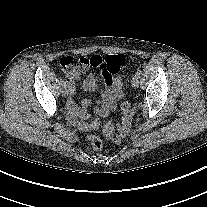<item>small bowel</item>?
I'll return each instance as SVG.
<instances>
[{"mask_svg": "<svg viewBox=\"0 0 207 207\" xmlns=\"http://www.w3.org/2000/svg\"><path fill=\"white\" fill-rule=\"evenodd\" d=\"M103 78V77H102ZM104 86L101 90V99L98 102V107L95 109V114L101 117H107L116 108L117 102L122 98V79L120 77H109L104 79ZM70 85V92L73 95L75 89L73 84ZM92 105V100L83 99L80 106L71 98L67 102V114L73 124L81 130H91L100 127V121L91 116L87 108Z\"/></svg>", "mask_w": 207, "mask_h": 207, "instance_id": "small-bowel-1", "label": "small bowel"}]
</instances>
